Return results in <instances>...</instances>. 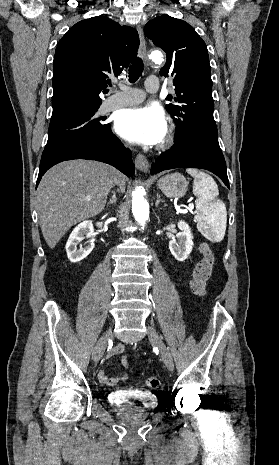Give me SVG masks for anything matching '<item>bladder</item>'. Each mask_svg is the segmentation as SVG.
Returning <instances> with one entry per match:
<instances>
[{
    "mask_svg": "<svg viewBox=\"0 0 279 465\" xmlns=\"http://www.w3.org/2000/svg\"><path fill=\"white\" fill-rule=\"evenodd\" d=\"M110 402L121 412L138 414L154 409L157 406L156 397L149 392H132L116 390L110 395Z\"/></svg>",
    "mask_w": 279,
    "mask_h": 465,
    "instance_id": "1",
    "label": "bladder"
}]
</instances>
